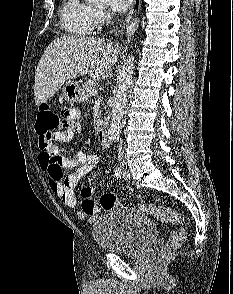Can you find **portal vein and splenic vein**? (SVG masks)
Instances as JSON below:
<instances>
[{"label":"portal vein and splenic vein","mask_w":233,"mask_h":294,"mask_svg":"<svg viewBox=\"0 0 233 294\" xmlns=\"http://www.w3.org/2000/svg\"><path fill=\"white\" fill-rule=\"evenodd\" d=\"M89 94L91 95V96H96L97 94H98V92H97V90L96 89H90L89 90Z\"/></svg>","instance_id":"obj_1"}]
</instances>
